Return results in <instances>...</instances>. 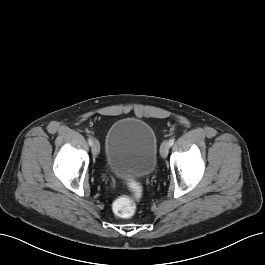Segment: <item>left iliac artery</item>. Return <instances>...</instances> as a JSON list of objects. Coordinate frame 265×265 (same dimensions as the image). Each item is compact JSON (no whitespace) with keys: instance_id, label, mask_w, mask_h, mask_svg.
Wrapping results in <instances>:
<instances>
[{"instance_id":"obj_1","label":"left iliac artery","mask_w":265,"mask_h":265,"mask_svg":"<svg viewBox=\"0 0 265 265\" xmlns=\"http://www.w3.org/2000/svg\"><path fill=\"white\" fill-rule=\"evenodd\" d=\"M174 142H175V139H174V138H171V139L169 140V146H172V145L174 144Z\"/></svg>"}]
</instances>
